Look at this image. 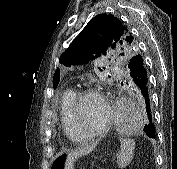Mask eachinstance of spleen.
<instances>
[{
	"label": "spleen",
	"instance_id": "spleen-1",
	"mask_svg": "<svg viewBox=\"0 0 177 169\" xmlns=\"http://www.w3.org/2000/svg\"><path fill=\"white\" fill-rule=\"evenodd\" d=\"M135 141L132 139H120V151L118 154V167L125 168L130 164L134 154Z\"/></svg>",
	"mask_w": 177,
	"mask_h": 169
}]
</instances>
